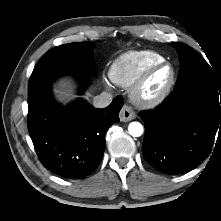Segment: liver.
<instances>
[{"label": "liver", "instance_id": "liver-1", "mask_svg": "<svg viewBox=\"0 0 221 221\" xmlns=\"http://www.w3.org/2000/svg\"><path fill=\"white\" fill-rule=\"evenodd\" d=\"M56 94V98L58 101L62 103H67L69 99H71V85L67 82H61L59 83V86L57 89L54 90Z\"/></svg>", "mask_w": 221, "mask_h": 221}]
</instances>
